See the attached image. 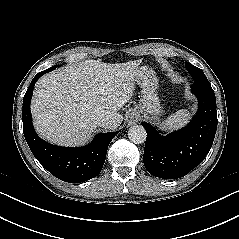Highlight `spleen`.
<instances>
[{
    "instance_id": "1",
    "label": "spleen",
    "mask_w": 239,
    "mask_h": 239,
    "mask_svg": "<svg viewBox=\"0 0 239 239\" xmlns=\"http://www.w3.org/2000/svg\"><path fill=\"white\" fill-rule=\"evenodd\" d=\"M190 118V113L187 110H179L170 115L163 123L162 126L170 131L177 130L185 126Z\"/></svg>"
}]
</instances>
